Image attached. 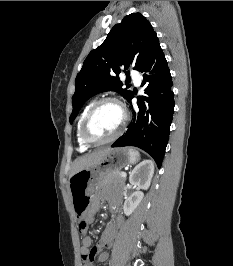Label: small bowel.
<instances>
[{
    "mask_svg": "<svg viewBox=\"0 0 233 266\" xmlns=\"http://www.w3.org/2000/svg\"><path fill=\"white\" fill-rule=\"evenodd\" d=\"M100 198L101 197L99 195H96L93 198L91 208L88 211L86 217L88 222L93 221L94 215L99 205ZM108 200L110 201L113 209L115 210V218L108 224L106 229L103 231L100 240L94 246H91L92 240L90 236L87 235V230L82 232L84 234V237L82 240L81 254L83 261L85 262V266H93L95 261L102 263L108 259L109 255L108 252L105 251V249L111 247L116 235V231L122 224V218L118 214V207L120 204L119 200L117 198H108ZM89 254L92 255V259L90 263H87L85 261L84 256Z\"/></svg>",
    "mask_w": 233,
    "mask_h": 266,
    "instance_id": "obj_1",
    "label": "small bowel"
}]
</instances>
